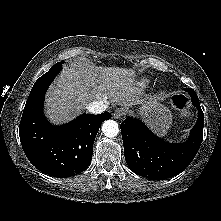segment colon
Listing matches in <instances>:
<instances>
[{
  "mask_svg": "<svg viewBox=\"0 0 221 221\" xmlns=\"http://www.w3.org/2000/svg\"><path fill=\"white\" fill-rule=\"evenodd\" d=\"M172 104L183 114H188V97L184 93H177L172 97Z\"/></svg>",
  "mask_w": 221,
  "mask_h": 221,
  "instance_id": "obj_1",
  "label": "colon"
}]
</instances>
